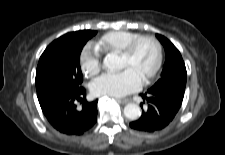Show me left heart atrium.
<instances>
[{"mask_svg":"<svg viewBox=\"0 0 225 155\" xmlns=\"http://www.w3.org/2000/svg\"><path fill=\"white\" fill-rule=\"evenodd\" d=\"M143 79L131 68L120 72H110L97 78L91 85L95 96L123 97L137 91Z\"/></svg>","mask_w":225,"mask_h":155,"instance_id":"39dd6f15","label":"left heart atrium"}]
</instances>
